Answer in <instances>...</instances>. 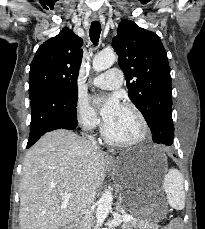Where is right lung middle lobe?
<instances>
[{
	"label": "right lung middle lobe",
	"mask_w": 205,
	"mask_h": 229,
	"mask_svg": "<svg viewBox=\"0 0 205 229\" xmlns=\"http://www.w3.org/2000/svg\"><path fill=\"white\" fill-rule=\"evenodd\" d=\"M65 90L69 91L75 97H78L77 96V93H78L77 85L69 84L66 86Z\"/></svg>",
	"instance_id": "1"
}]
</instances>
